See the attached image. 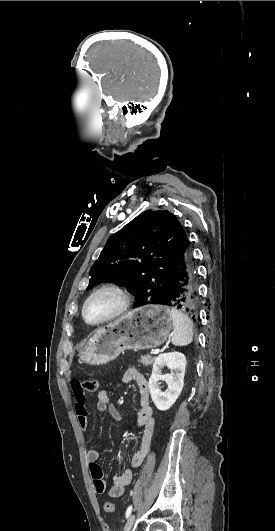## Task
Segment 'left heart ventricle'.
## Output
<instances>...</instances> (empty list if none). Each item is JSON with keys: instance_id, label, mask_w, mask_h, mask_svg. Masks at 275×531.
<instances>
[{"instance_id": "1", "label": "left heart ventricle", "mask_w": 275, "mask_h": 531, "mask_svg": "<svg viewBox=\"0 0 275 531\" xmlns=\"http://www.w3.org/2000/svg\"><path fill=\"white\" fill-rule=\"evenodd\" d=\"M118 305L117 298L112 294H102L92 299L85 308L87 319L96 321L113 312Z\"/></svg>"}]
</instances>
